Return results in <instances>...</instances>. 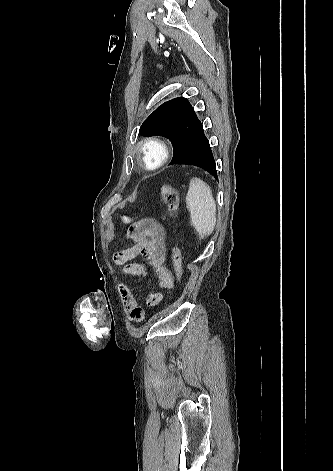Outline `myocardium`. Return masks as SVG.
I'll use <instances>...</instances> for the list:
<instances>
[{"mask_svg":"<svg viewBox=\"0 0 333 471\" xmlns=\"http://www.w3.org/2000/svg\"><path fill=\"white\" fill-rule=\"evenodd\" d=\"M140 162L147 170L160 168L168 158L166 144L158 138H148L139 146ZM152 153L155 154L152 157Z\"/></svg>","mask_w":333,"mask_h":471,"instance_id":"f54148a6","label":"myocardium"}]
</instances>
